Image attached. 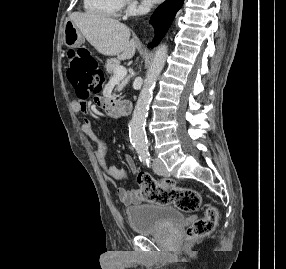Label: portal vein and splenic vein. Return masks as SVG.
<instances>
[{
	"label": "portal vein and splenic vein",
	"instance_id": "portal-vein-and-splenic-vein-1",
	"mask_svg": "<svg viewBox=\"0 0 286 269\" xmlns=\"http://www.w3.org/2000/svg\"><path fill=\"white\" fill-rule=\"evenodd\" d=\"M127 74V70L123 66L116 67L114 76L111 77V81H120Z\"/></svg>",
	"mask_w": 286,
	"mask_h": 269
}]
</instances>
